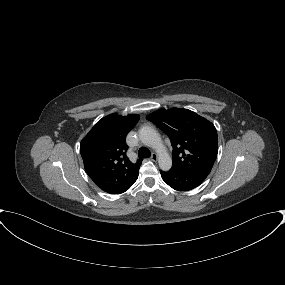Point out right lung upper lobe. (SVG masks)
Returning <instances> with one entry per match:
<instances>
[{
    "instance_id": "right-lung-upper-lobe-1",
    "label": "right lung upper lobe",
    "mask_w": 285,
    "mask_h": 285,
    "mask_svg": "<svg viewBox=\"0 0 285 285\" xmlns=\"http://www.w3.org/2000/svg\"><path fill=\"white\" fill-rule=\"evenodd\" d=\"M139 115L110 114L99 120L80 144L84 167L103 191L119 194L137 180L142 159L134 164L126 156L125 138Z\"/></svg>"
}]
</instances>
